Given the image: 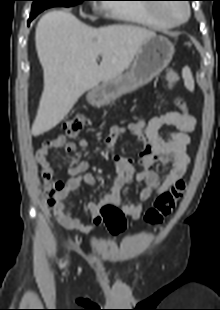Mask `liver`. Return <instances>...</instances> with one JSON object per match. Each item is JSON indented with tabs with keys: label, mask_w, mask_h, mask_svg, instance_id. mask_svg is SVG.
Returning <instances> with one entry per match:
<instances>
[{
	"label": "liver",
	"mask_w": 220,
	"mask_h": 310,
	"mask_svg": "<svg viewBox=\"0 0 220 310\" xmlns=\"http://www.w3.org/2000/svg\"><path fill=\"white\" fill-rule=\"evenodd\" d=\"M155 35L133 25L93 28L61 10L42 16L35 41L44 89L32 135L39 136L59 124L86 91L122 75L144 41Z\"/></svg>",
	"instance_id": "liver-1"
}]
</instances>
